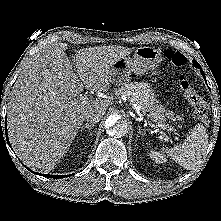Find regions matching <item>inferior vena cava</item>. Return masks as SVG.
I'll list each match as a JSON object with an SVG mask.
<instances>
[{
	"label": "inferior vena cava",
	"instance_id": "602c4592",
	"mask_svg": "<svg viewBox=\"0 0 221 221\" xmlns=\"http://www.w3.org/2000/svg\"><path fill=\"white\" fill-rule=\"evenodd\" d=\"M104 114V110L92 109L86 114L85 118L87 122L97 123L101 120Z\"/></svg>",
	"mask_w": 221,
	"mask_h": 221
}]
</instances>
